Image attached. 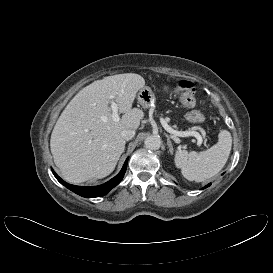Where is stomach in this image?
<instances>
[{"instance_id": "1", "label": "stomach", "mask_w": 273, "mask_h": 273, "mask_svg": "<svg viewBox=\"0 0 273 273\" xmlns=\"http://www.w3.org/2000/svg\"><path fill=\"white\" fill-rule=\"evenodd\" d=\"M138 102L140 105L145 108H152L155 104V96L150 88H142L137 95Z\"/></svg>"}]
</instances>
